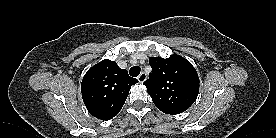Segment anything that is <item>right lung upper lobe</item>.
<instances>
[{
	"label": "right lung upper lobe",
	"instance_id": "obj_1",
	"mask_svg": "<svg viewBox=\"0 0 276 138\" xmlns=\"http://www.w3.org/2000/svg\"><path fill=\"white\" fill-rule=\"evenodd\" d=\"M137 82L116 62L108 59L99 62L82 80L81 92L87 110L98 119H112L123 107L131 86Z\"/></svg>",
	"mask_w": 276,
	"mask_h": 138
}]
</instances>
